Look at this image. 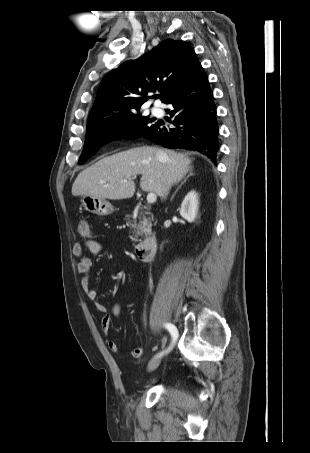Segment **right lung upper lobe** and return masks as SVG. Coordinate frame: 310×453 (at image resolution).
Returning <instances> with one entry per match:
<instances>
[{
    "mask_svg": "<svg viewBox=\"0 0 310 453\" xmlns=\"http://www.w3.org/2000/svg\"><path fill=\"white\" fill-rule=\"evenodd\" d=\"M201 67L194 50L185 42L166 40L136 60H129L103 78L90 111L87 128L139 111L161 91L166 103Z\"/></svg>",
    "mask_w": 310,
    "mask_h": 453,
    "instance_id": "1",
    "label": "right lung upper lobe"
}]
</instances>
